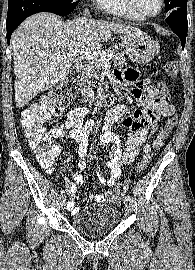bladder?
Returning <instances> with one entry per match:
<instances>
[{
  "label": "bladder",
  "mask_w": 195,
  "mask_h": 270,
  "mask_svg": "<svg viewBox=\"0 0 195 270\" xmlns=\"http://www.w3.org/2000/svg\"><path fill=\"white\" fill-rule=\"evenodd\" d=\"M120 219V210L114 204H101L89 206L78 213L72 219V225L80 232L96 236L113 230Z\"/></svg>",
  "instance_id": "31cf9c89"
}]
</instances>
